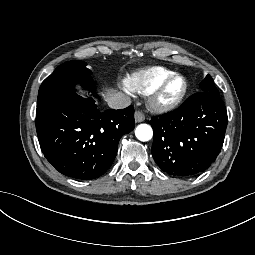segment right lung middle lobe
I'll use <instances>...</instances> for the list:
<instances>
[{
	"mask_svg": "<svg viewBox=\"0 0 255 255\" xmlns=\"http://www.w3.org/2000/svg\"><path fill=\"white\" fill-rule=\"evenodd\" d=\"M86 65V62L80 60L67 61L59 65L41 84L37 106L59 94L74 92L76 84L94 92L95 82H93L91 70Z\"/></svg>",
	"mask_w": 255,
	"mask_h": 255,
	"instance_id": "right-lung-middle-lobe-1",
	"label": "right lung middle lobe"
}]
</instances>
